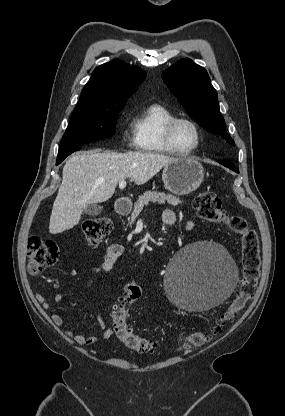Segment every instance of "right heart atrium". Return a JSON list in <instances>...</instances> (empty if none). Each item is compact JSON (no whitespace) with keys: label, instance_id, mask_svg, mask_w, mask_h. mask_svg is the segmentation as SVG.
<instances>
[{"label":"right heart atrium","instance_id":"d8ad5b80","mask_svg":"<svg viewBox=\"0 0 285 416\" xmlns=\"http://www.w3.org/2000/svg\"><path fill=\"white\" fill-rule=\"evenodd\" d=\"M124 141L126 146L129 148H134L137 146L136 132L133 121L130 117L127 119V125L124 131Z\"/></svg>","mask_w":285,"mask_h":416}]
</instances>
